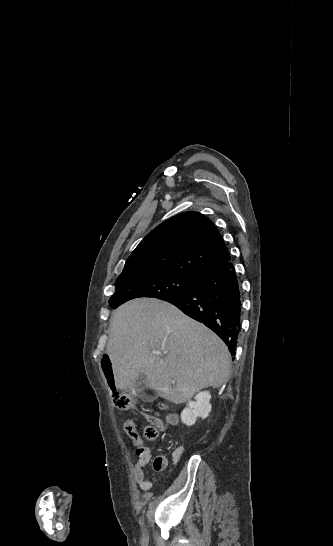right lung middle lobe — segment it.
<instances>
[{
    "instance_id": "dd1d6c3e",
    "label": "right lung middle lobe",
    "mask_w": 333,
    "mask_h": 546,
    "mask_svg": "<svg viewBox=\"0 0 333 546\" xmlns=\"http://www.w3.org/2000/svg\"><path fill=\"white\" fill-rule=\"evenodd\" d=\"M199 278L173 272L121 273L115 283V293L109 300L112 308L138 297L164 300L194 288Z\"/></svg>"
}]
</instances>
